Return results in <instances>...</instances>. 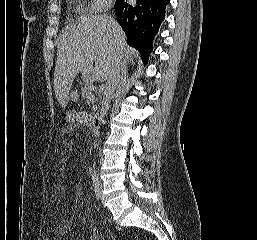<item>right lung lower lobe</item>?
<instances>
[{
  "mask_svg": "<svg viewBox=\"0 0 257 240\" xmlns=\"http://www.w3.org/2000/svg\"><path fill=\"white\" fill-rule=\"evenodd\" d=\"M170 0H116L114 8L119 24L124 30L127 40L141 54L147 63L153 50V40L161 22L165 19V9Z\"/></svg>",
  "mask_w": 257,
  "mask_h": 240,
  "instance_id": "right-lung-lower-lobe-1",
  "label": "right lung lower lobe"
}]
</instances>
